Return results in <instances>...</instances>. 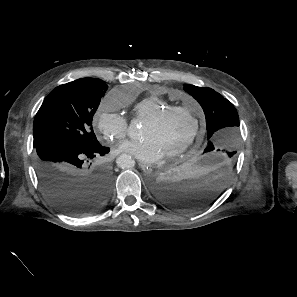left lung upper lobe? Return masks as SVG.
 <instances>
[{"label":"left lung upper lobe","instance_id":"obj_1","mask_svg":"<svg viewBox=\"0 0 297 297\" xmlns=\"http://www.w3.org/2000/svg\"><path fill=\"white\" fill-rule=\"evenodd\" d=\"M184 90L202 106L206 116L207 145L204 152L236 159L239 144V116L231 102L211 88L184 85Z\"/></svg>","mask_w":297,"mask_h":297}]
</instances>
